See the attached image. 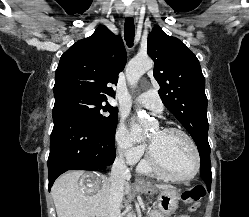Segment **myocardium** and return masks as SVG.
I'll list each match as a JSON object with an SVG mask.
<instances>
[{"label": "myocardium", "mask_w": 249, "mask_h": 217, "mask_svg": "<svg viewBox=\"0 0 249 217\" xmlns=\"http://www.w3.org/2000/svg\"><path fill=\"white\" fill-rule=\"evenodd\" d=\"M162 132L164 133H175V134H179L181 136H183L190 144L193 152H194V156H195V166L193 171L186 175V176H176L171 174L170 172H168L162 165L161 163L158 161V159L156 158L151 146L148 148L147 151V163L149 165V167L151 168V170L156 173L157 175H159L160 177L167 179V180H171V181H177V182H184V181H189L191 179H193L197 173L200 170V166H201V156H200V152L198 149L197 144L195 143L194 139L184 130L180 129V128H176V127H165L163 129H161Z\"/></svg>", "instance_id": "1"}]
</instances>
